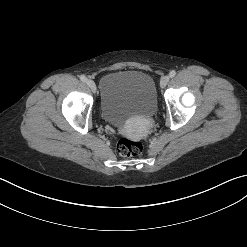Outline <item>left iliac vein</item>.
<instances>
[{
  "label": "left iliac vein",
  "instance_id": "obj_1",
  "mask_svg": "<svg viewBox=\"0 0 247 247\" xmlns=\"http://www.w3.org/2000/svg\"><path fill=\"white\" fill-rule=\"evenodd\" d=\"M169 80L170 77L168 75L163 76L160 81V86L164 88L168 84Z\"/></svg>",
  "mask_w": 247,
  "mask_h": 247
}]
</instances>
